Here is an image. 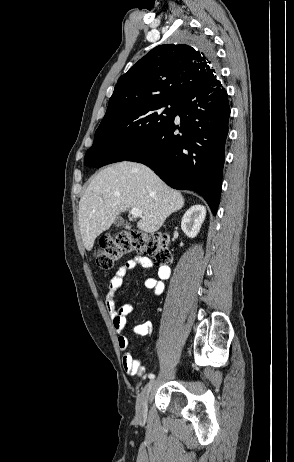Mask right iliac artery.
I'll return each mask as SVG.
<instances>
[{
  "label": "right iliac artery",
  "mask_w": 294,
  "mask_h": 462,
  "mask_svg": "<svg viewBox=\"0 0 294 462\" xmlns=\"http://www.w3.org/2000/svg\"><path fill=\"white\" fill-rule=\"evenodd\" d=\"M149 379L153 380L155 378V375L154 374H149Z\"/></svg>",
  "instance_id": "82829eb1"
}]
</instances>
